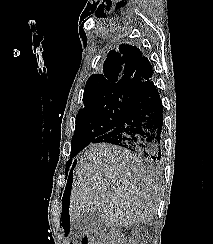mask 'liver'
I'll return each instance as SVG.
<instances>
[{
    "label": "liver",
    "mask_w": 213,
    "mask_h": 244,
    "mask_svg": "<svg viewBox=\"0 0 213 244\" xmlns=\"http://www.w3.org/2000/svg\"><path fill=\"white\" fill-rule=\"evenodd\" d=\"M161 196L159 179L145 161L122 147L91 145L72 183L69 216L96 211L108 227L150 223Z\"/></svg>",
    "instance_id": "obj_1"
}]
</instances>
